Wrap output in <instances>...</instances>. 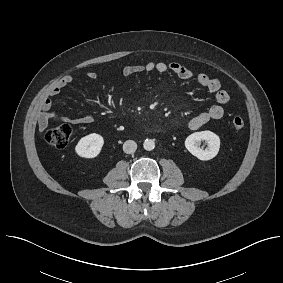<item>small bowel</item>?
Returning a JSON list of instances; mask_svg holds the SVG:
<instances>
[{"instance_id": "1", "label": "small bowel", "mask_w": 283, "mask_h": 283, "mask_svg": "<svg viewBox=\"0 0 283 283\" xmlns=\"http://www.w3.org/2000/svg\"><path fill=\"white\" fill-rule=\"evenodd\" d=\"M143 72H171L183 80H190L194 78V73L190 69L177 62H148L144 65H126L122 69V74L124 76H132ZM85 77L89 80H92L96 77V74L92 71H88L85 73ZM195 80L197 84L201 87L207 89L212 93H215L216 104L212 105L207 110L199 113L198 115L192 117L187 124L190 130H197L211 120H218L222 118L224 115V106L230 100L228 92L221 89V83L218 79L201 73L196 75ZM72 81L73 77L71 75L65 76L59 82V84L51 90L49 97H47L42 102L40 113L38 116V126L41 131H44L52 121H64L73 124H86L91 123L93 121V116L90 114H86L80 117H68L51 112V98L58 95Z\"/></svg>"}]
</instances>
